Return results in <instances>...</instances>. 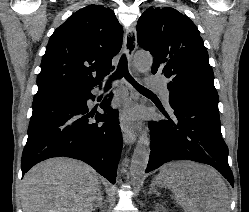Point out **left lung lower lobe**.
Returning a JSON list of instances; mask_svg holds the SVG:
<instances>
[{"mask_svg":"<svg viewBox=\"0 0 249 212\" xmlns=\"http://www.w3.org/2000/svg\"><path fill=\"white\" fill-rule=\"evenodd\" d=\"M158 108L168 120L149 122L151 152L145 172L172 160H191L216 168L233 186L218 102L185 92H170L168 113L163 107Z\"/></svg>","mask_w":249,"mask_h":212,"instance_id":"left-lung-lower-lobe-1","label":"left lung lower lobe"}]
</instances>
